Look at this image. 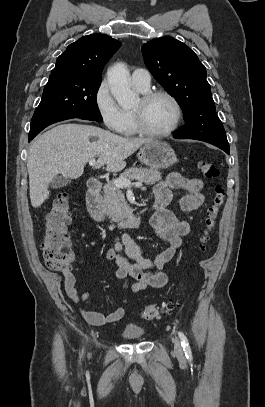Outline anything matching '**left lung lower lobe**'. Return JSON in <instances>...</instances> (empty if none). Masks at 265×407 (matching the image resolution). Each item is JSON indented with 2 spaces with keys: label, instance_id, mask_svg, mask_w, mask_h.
<instances>
[{
  "label": "left lung lower lobe",
  "instance_id": "1",
  "mask_svg": "<svg viewBox=\"0 0 265 407\" xmlns=\"http://www.w3.org/2000/svg\"><path fill=\"white\" fill-rule=\"evenodd\" d=\"M217 147H219L220 149L224 150L227 154H229V148H225L223 146H217Z\"/></svg>",
  "mask_w": 265,
  "mask_h": 407
}]
</instances>
